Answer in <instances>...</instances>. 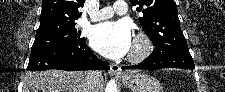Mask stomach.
Listing matches in <instances>:
<instances>
[{
  "mask_svg": "<svg viewBox=\"0 0 225 92\" xmlns=\"http://www.w3.org/2000/svg\"><path fill=\"white\" fill-rule=\"evenodd\" d=\"M121 82L132 92H163L159 81L146 74L135 72L125 73L121 77Z\"/></svg>",
  "mask_w": 225,
  "mask_h": 92,
  "instance_id": "stomach-1",
  "label": "stomach"
}]
</instances>
